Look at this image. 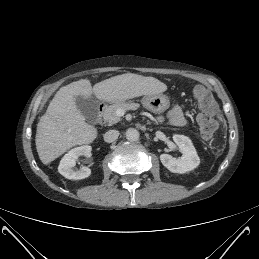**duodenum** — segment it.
<instances>
[{"instance_id": "1", "label": "duodenum", "mask_w": 259, "mask_h": 259, "mask_svg": "<svg viewBox=\"0 0 259 259\" xmlns=\"http://www.w3.org/2000/svg\"><path fill=\"white\" fill-rule=\"evenodd\" d=\"M107 107V103H100L98 106V115H97V121L101 120L102 114Z\"/></svg>"}]
</instances>
